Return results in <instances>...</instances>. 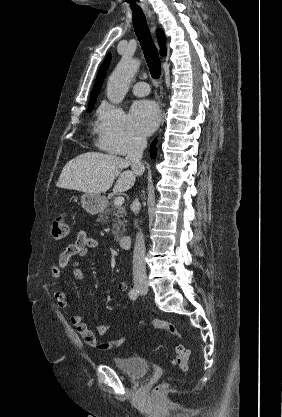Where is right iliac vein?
I'll use <instances>...</instances> for the list:
<instances>
[{
  "label": "right iliac vein",
  "instance_id": "right-iliac-vein-1",
  "mask_svg": "<svg viewBox=\"0 0 282 417\" xmlns=\"http://www.w3.org/2000/svg\"><path fill=\"white\" fill-rule=\"evenodd\" d=\"M136 288L138 289V291L141 292V291H145L147 289V286L145 284H143V283H138L136 285Z\"/></svg>",
  "mask_w": 282,
  "mask_h": 417
}]
</instances>
